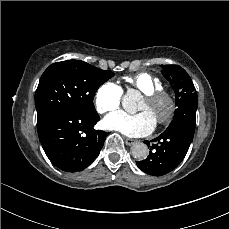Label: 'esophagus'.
<instances>
[{
	"label": "esophagus",
	"mask_w": 229,
	"mask_h": 229,
	"mask_svg": "<svg viewBox=\"0 0 229 229\" xmlns=\"http://www.w3.org/2000/svg\"><path fill=\"white\" fill-rule=\"evenodd\" d=\"M125 143H126L128 146H132V145H134L135 143H137V140H136V139H133V138H126V139H125Z\"/></svg>",
	"instance_id": "1"
}]
</instances>
